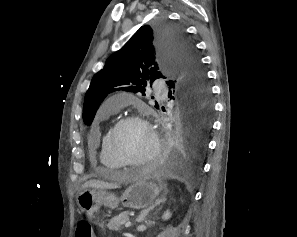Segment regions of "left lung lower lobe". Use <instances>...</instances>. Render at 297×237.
Returning <instances> with one entry per match:
<instances>
[{"label": "left lung lower lobe", "instance_id": "obj_1", "mask_svg": "<svg viewBox=\"0 0 297 237\" xmlns=\"http://www.w3.org/2000/svg\"><path fill=\"white\" fill-rule=\"evenodd\" d=\"M168 96L175 100L173 90ZM176 100L182 127L169 137L162 163L168 168L185 169L196 165L203 155L213 107L211 102L197 106L189 99Z\"/></svg>", "mask_w": 297, "mask_h": 237}]
</instances>
